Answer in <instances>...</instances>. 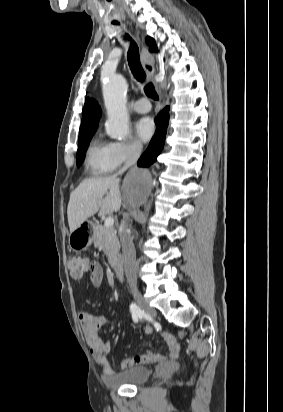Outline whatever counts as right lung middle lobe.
<instances>
[{"label":"right lung middle lobe","mask_w":283,"mask_h":412,"mask_svg":"<svg viewBox=\"0 0 283 412\" xmlns=\"http://www.w3.org/2000/svg\"><path fill=\"white\" fill-rule=\"evenodd\" d=\"M93 133H89L79 137L78 151H77V166H80L85 158V152L88 148L89 141L92 138Z\"/></svg>","instance_id":"right-lung-middle-lobe-1"}]
</instances>
